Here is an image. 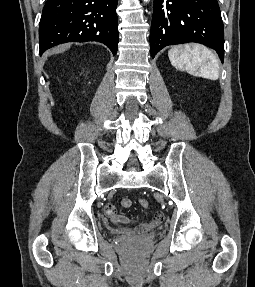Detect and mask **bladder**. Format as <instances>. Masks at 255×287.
Listing matches in <instances>:
<instances>
[{"instance_id":"31cf9c89","label":"bladder","mask_w":255,"mask_h":287,"mask_svg":"<svg viewBox=\"0 0 255 287\" xmlns=\"http://www.w3.org/2000/svg\"><path fill=\"white\" fill-rule=\"evenodd\" d=\"M135 230L132 229V228H115V229H112L111 232L113 234H128V233H132L134 232Z\"/></svg>"}]
</instances>
